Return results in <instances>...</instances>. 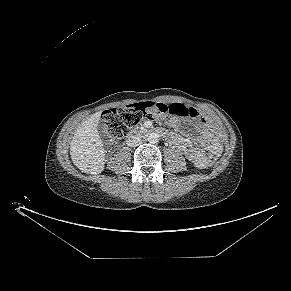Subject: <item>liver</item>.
I'll list each match as a JSON object with an SVG mask.
<instances>
[{"label":"liver","mask_w":291,"mask_h":291,"mask_svg":"<svg viewBox=\"0 0 291 291\" xmlns=\"http://www.w3.org/2000/svg\"><path fill=\"white\" fill-rule=\"evenodd\" d=\"M101 112H96L76 130L70 155L75 166L87 174H99L104 169L105 152L97 127Z\"/></svg>","instance_id":"6515ba94"}]
</instances>
